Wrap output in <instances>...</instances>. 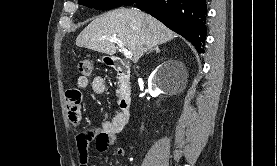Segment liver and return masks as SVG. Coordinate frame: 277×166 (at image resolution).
Returning a JSON list of instances; mask_svg holds the SVG:
<instances>
[{"label":"liver","mask_w":277,"mask_h":166,"mask_svg":"<svg viewBox=\"0 0 277 166\" xmlns=\"http://www.w3.org/2000/svg\"><path fill=\"white\" fill-rule=\"evenodd\" d=\"M106 36V39L103 37ZM110 37L121 40L137 63L143 54L177 35L152 16L136 8H118L94 19L76 39L78 47L114 55L117 47Z\"/></svg>","instance_id":"1"}]
</instances>
